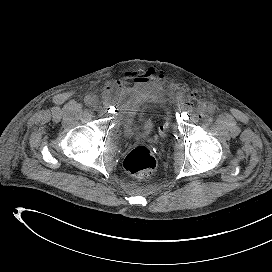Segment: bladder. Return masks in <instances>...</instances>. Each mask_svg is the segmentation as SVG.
Returning a JSON list of instances; mask_svg holds the SVG:
<instances>
[{"label": "bladder", "instance_id": "obj_1", "mask_svg": "<svg viewBox=\"0 0 272 272\" xmlns=\"http://www.w3.org/2000/svg\"><path fill=\"white\" fill-rule=\"evenodd\" d=\"M123 109L125 111L122 115V125L125 135L127 137H147L150 133V127L138 122L136 108L127 102ZM167 118L169 121L170 117L167 116Z\"/></svg>", "mask_w": 272, "mask_h": 272}]
</instances>
